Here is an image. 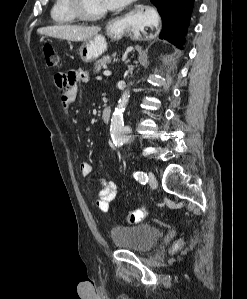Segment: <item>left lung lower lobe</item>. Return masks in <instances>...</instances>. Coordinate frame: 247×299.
<instances>
[{
  "instance_id": "left-lung-lower-lobe-1",
  "label": "left lung lower lobe",
  "mask_w": 247,
  "mask_h": 299,
  "mask_svg": "<svg viewBox=\"0 0 247 299\" xmlns=\"http://www.w3.org/2000/svg\"><path fill=\"white\" fill-rule=\"evenodd\" d=\"M162 17L161 39L183 48L194 0H151Z\"/></svg>"
}]
</instances>
